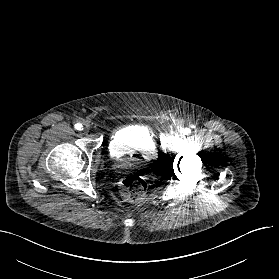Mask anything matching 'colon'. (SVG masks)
<instances>
[{"label":"colon","mask_w":279,"mask_h":279,"mask_svg":"<svg viewBox=\"0 0 279 279\" xmlns=\"http://www.w3.org/2000/svg\"><path fill=\"white\" fill-rule=\"evenodd\" d=\"M147 191L146 181L137 175L123 178L119 183V192L127 201L140 200Z\"/></svg>","instance_id":"obj_1"}]
</instances>
